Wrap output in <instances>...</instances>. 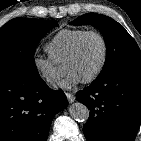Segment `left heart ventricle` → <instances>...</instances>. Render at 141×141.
<instances>
[{"label": "left heart ventricle", "instance_id": "left-heart-ventricle-1", "mask_svg": "<svg viewBox=\"0 0 141 141\" xmlns=\"http://www.w3.org/2000/svg\"><path fill=\"white\" fill-rule=\"evenodd\" d=\"M102 54L103 47L100 39L93 35L89 36L84 41L77 57L65 63V69L67 72H75L84 80L98 69Z\"/></svg>", "mask_w": 141, "mask_h": 141}]
</instances>
